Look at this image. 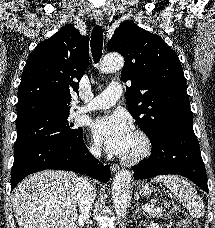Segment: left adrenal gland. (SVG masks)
I'll return each mask as SVG.
<instances>
[{
    "label": "left adrenal gland",
    "instance_id": "left-adrenal-gland-1",
    "mask_svg": "<svg viewBox=\"0 0 215 228\" xmlns=\"http://www.w3.org/2000/svg\"><path fill=\"white\" fill-rule=\"evenodd\" d=\"M135 208H136V212H142L138 202H136L135 204ZM143 216H146V212H142Z\"/></svg>",
    "mask_w": 215,
    "mask_h": 228
}]
</instances>
